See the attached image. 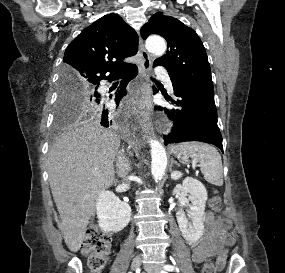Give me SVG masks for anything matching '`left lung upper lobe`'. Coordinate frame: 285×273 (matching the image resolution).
<instances>
[{
  "label": "left lung upper lobe",
  "instance_id": "5c2ea615",
  "mask_svg": "<svg viewBox=\"0 0 285 273\" xmlns=\"http://www.w3.org/2000/svg\"><path fill=\"white\" fill-rule=\"evenodd\" d=\"M151 34H159L167 41L169 48L167 53L156 59L154 64L168 70L172 84L186 88L213 90L207 54L194 30L178 19L158 12L141 28L144 39Z\"/></svg>",
  "mask_w": 285,
  "mask_h": 273
}]
</instances>
